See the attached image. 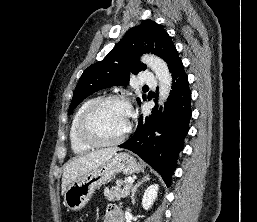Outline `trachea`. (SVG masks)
Masks as SVG:
<instances>
[{
  "label": "trachea",
  "instance_id": "trachea-1",
  "mask_svg": "<svg viewBox=\"0 0 257 222\" xmlns=\"http://www.w3.org/2000/svg\"><path fill=\"white\" fill-rule=\"evenodd\" d=\"M143 88H148V86H144Z\"/></svg>",
  "mask_w": 257,
  "mask_h": 222
}]
</instances>
